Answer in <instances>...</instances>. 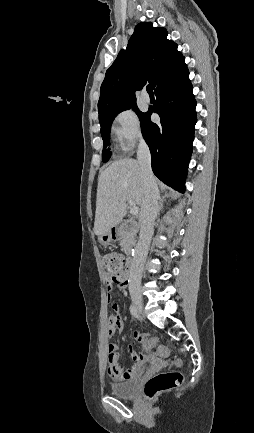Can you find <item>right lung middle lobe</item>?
Segmentation results:
<instances>
[{
	"instance_id": "obj_1",
	"label": "right lung middle lobe",
	"mask_w": 254,
	"mask_h": 433,
	"mask_svg": "<svg viewBox=\"0 0 254 433\" xmlns=\"http://www.w3.org/2000/svg\"><path fill=\"white\" fill-rule=\"evenodd\" d=\"M132 108L136 114L138 115L139 119L144 115L136 106V103H129L126 105H123L121 107H118L116 109L110 110L102 115V117L99 118V122L101 125V136L103 139V152H102V160L103 162H107L111 156V152L106 149V147L110 144V128L111 124L116 117L117 114L120 112Z\"/></svg>"
}]
</instances>
